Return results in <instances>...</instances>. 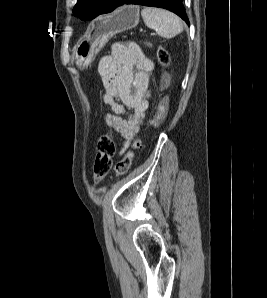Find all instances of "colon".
Listing matches in <instances>:
<instances>
[{"label":"colon","mask_w":267,"mask_h":298,"mask_svg":"<svg viewBox=\"0 0 267 298\" xmlns=\"http://www.w3.org/2000/svg\"><path fill=\"white\" fill-rule=\"evenodd\" d=\"M158 60L163 67L169 64L168 53L160 49L158 52ZM110 129V128H109ZM142 146V140L137 138L131 145V148L125 153L124 157L117 163L115 167L116 176H122L128 172L132 164L134 153ZM115 152V142L113 136V130L102 135L98 141L97 153L94 162V179L101 181L109 173L112 160Z\"/></svg>","instance_id":"1"}]
</instances>
